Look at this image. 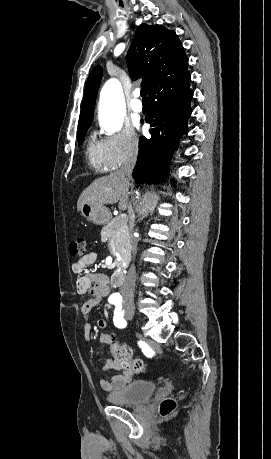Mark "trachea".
<instances>
[{
    "label": "trachea",
    "instance_id": "3493384b",
    "mask_svg": "<svg viewBox=\"0 0 271 459\" xmlns=\"http://www.w3.org/2000/svg\"><path fill=\"white\" fill-rule=\"evenodd\" d=\"M141 97L143 99V102H148L147 89L146 88H142L141 89Z\"/></svg>",
    "mask_w": 271,
    "mask_h": 459
}]
</instances>
